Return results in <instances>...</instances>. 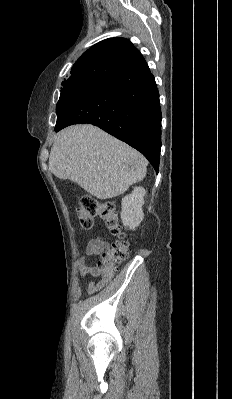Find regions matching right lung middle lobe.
Returning <instances> with one entry per match:
<instances>
[{"instance_id":"right-lung-middle-lobe-1","label":"right lung middle lobe","mask_w":232,"mask_h":399,"mask_svg":"<svg viewBox=\"0 0 232 399\" xmlns=\"http://www.w3.org/2000/svg\"><path fill=\"white\" fill-rule=\"evenodd\" d=\"M102 81V79L98 78H80L62 84V92L56 105L57 116L63 105H65L69 101L77 99L82 94L92 89Z\"/></svg>"}]
</instances>
